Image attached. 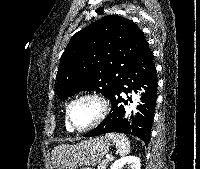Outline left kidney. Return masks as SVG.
I'll use <instances>...</instances> for the list:
<instances>
[{
	"instance_id": "obj_1",
	"label": "left kidney",
	"mask_w": 200,
	"mask_h": 169,
	"mask_svg": "<svg viewBox=\"0 0 200 169\" xmlns=\"http://www.w3.org/2000/svg\"><path fill=\"white\" fill-rule=\"evenodd\" d=\"M140 158L136 156H126L116 160L110 169H140Z\"/></svg>"
}]
</instances>
